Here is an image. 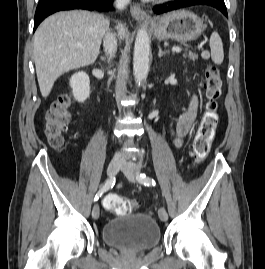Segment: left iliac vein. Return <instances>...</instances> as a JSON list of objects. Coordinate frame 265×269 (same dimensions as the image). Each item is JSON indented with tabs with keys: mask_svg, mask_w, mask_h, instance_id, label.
I'll return each mask as SVG.
<instances>
[{
	"mask_svg": "<svg viewBox=\"0 0 265 269\" xmlns=\"http://www.w3.org/2000/svg\"><path fill=\"white\" fill-rule=\"evenodd\" d=\"M121 170L129 181L131 182L136 181L137 168L132 162L124 161L122 164ZM158 215H159L160 220L162 221L168 220V213L164 207L159 208Z\"/></svg>",
	"mask_w": 265,
	"mask_h": 269,
	"instance_id": "1",
	"label": "left iliac vein"
}]
</instances>
